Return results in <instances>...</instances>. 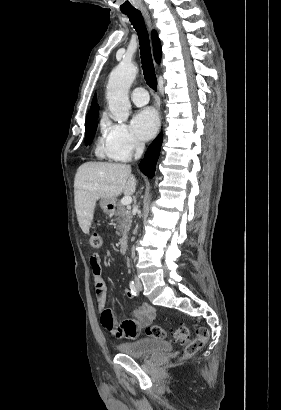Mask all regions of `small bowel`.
Instances as JSON below:
<instances>
[{"mask_svg":"<svg viewBox=\"0 0 281 410\" xmlns=\"http://www.w3.org/2000/svg\"><path fill=\"white\" fill-rule=\"evenodd\" d=\"M94 291L96 296L101 321L104 328L117 339L135 340L139 331L149 325L156 315V310L149 304H144L136 310V317L125 319L121 322L113 318L112 313L108 318L109 323H105V311L107 303V288L102 276L101 258L98 254H92L89 259ZM124 295L128 298L134 297L131 289H125ZM111 312V311H110Z\"/></svg>","mask_w":281,"mask_h":410,"instance_id":"1","label":"small bowel"}]
</instances>
